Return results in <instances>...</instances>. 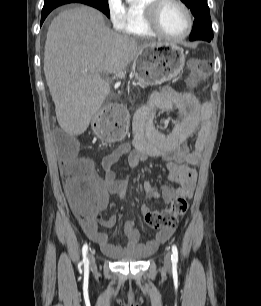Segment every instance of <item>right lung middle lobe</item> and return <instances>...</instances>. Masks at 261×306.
Returning a JSON list of instances; mask_svg holds the SVG:
<instances>
[{
  "instance_id": "1",
  "label": "right lung middle lobe",
  "mask_w": 261,
  "mask_h": 306,
  "mask_svg": "<svg viewBox=\"0 0 261 306\" xmlns=\"http://www.w3.org/2000/svg\"><path fill=\"white\" fill-rule=\"evenodd\" d=\"M67 3H83L98 10L102 11L107 17H110L109 6L107 0H79V1H68V0H45L42 11L53 10L54 8L67 4Z\"/></svg>"
}]
</instances>
